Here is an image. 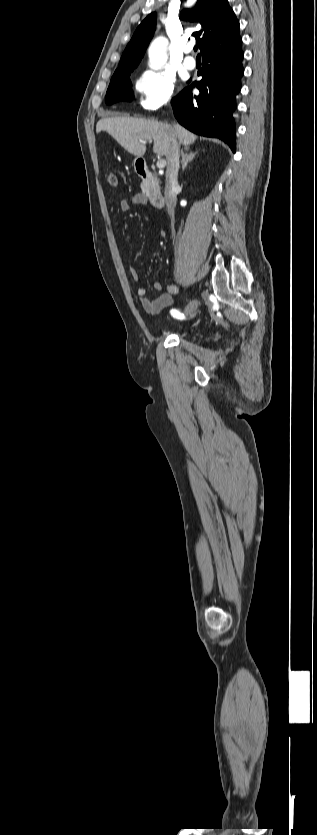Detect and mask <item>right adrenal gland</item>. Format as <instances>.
I'll use <instances>...</instances> for the list:
<instances>
[{
	"label": "right adrenal gland",
	"mask_w": 317,
	"mask_h": 835,
	"mask_svg": "<svg viewBox=\"0 0 317 835\" xmlns=\"http://www.w3.org/2000/svg\"><path fill=\"white\" fill-rule=\"evenodd\" d=\"M189 150H190V148H189V147H186V148H184V150H182V151H181V155H182V171H184V170H185V168L187 167L188 163H189V162H190V161H191V160L195 157L196 152H194V153H193V152H190V153H185V152H184V151L188 152Z\"/></svg>",
	"instance_id": "right-adrenal-gland-1"
}]
</instances>
